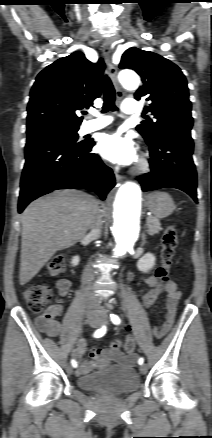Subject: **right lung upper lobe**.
<instances>
[{
	"instance_id": "1",
	"label": "right lung upper lobe",
	"mask_w": 212,
	"mask_h": 438,
	"mask_svg": "<svg viewBox=\"0 0 212 438\" xmlns=\"http://www.w3.org/2000/svg\"><path fill=\"white\" fill-rule=\"evenodd\" d=\"M105 69L102 59L92 63L82 52H74L47 66L36 77L30 92L27 130L51 126L78 127L77 111L93 105L101 95Z\"/></svg>"
}]
</instances>
